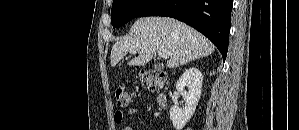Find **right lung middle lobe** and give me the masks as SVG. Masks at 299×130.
Here are the masks:
<instances>
[{
    "instance_id": "dd1d6c3e",
    "label": "right lung middle lobe",
    "mask_w": 299,
    "mask_h": 130,
    "mask_svg": "<svg viewBox=\"0 0 299 130\" xmlns=\"http://www.w3.org/2000/svg\"><path fill=\"white\" fill-rule=\"evenodd\" d=\"M153 0H113L111 23L120 27L137 17Z\"/></svg>"
}]
</instances>
